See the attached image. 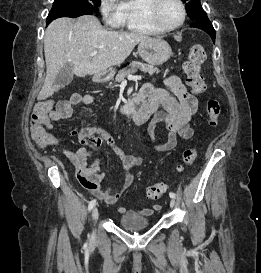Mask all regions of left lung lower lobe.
<instances>
[{
    "label": "left lung lower lobe",
    "instance_id": "1",
    "mask_svg": "<svg viewBox=\"0 0 261 273\" xmlns=\"http://www.w3.org/2000/svg\"><path fill=\"white\" fill-rule=\"evenodd\" d=\"M191 27H196V28L204 30L210 35L213 42H215V30L207 16H204L195 20V22L191 24Z\"/></svg>",
    "mask_w": 261,
    "mask_h": 273
}]
</instances>
